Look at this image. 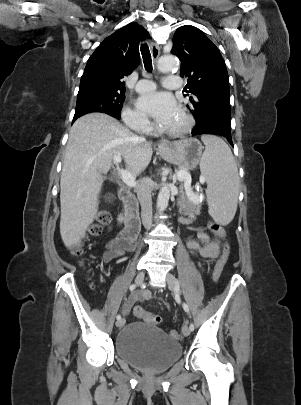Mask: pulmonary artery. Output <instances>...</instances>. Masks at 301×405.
Returning a JSON list of instances; mask_svg holds the SVG:
<instances>
[{
    "instance_id": "1",
    "label": "pulmonary artery",
    "mask_w": 301,
    "mask_h": 405,
    "mask_svg": "<svg viewBox=\"0 0 301 405\" xmlns=\"http://www.w3.org/2000/svg\"><path fill=\"white\" fill-rule=\"evenodd\" d=\"M163 84L168 89H179L182 87L183 82L180 77L170 75L164 79ZM155 88V83L148 79H142L136 84V91L139 93H148L155 90Z\"/></svg>"
}]
</instances>
